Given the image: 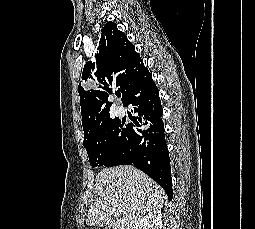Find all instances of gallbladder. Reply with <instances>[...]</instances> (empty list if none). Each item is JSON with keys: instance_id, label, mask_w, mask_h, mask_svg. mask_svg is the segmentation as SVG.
Here are the masks:
<instances>
[{"instance_id": "obj_1", "label": "gallbladder", "mask_w": 255, "mask_h": 229, "mask_svg": "<svg viewBox=\"0 0 255 229\" xmlns=\"http://www.w3.org/2000/svg\"><path fill=\"white\" fill-rule=\"evenodd\" d=\"M104 229H112L110 226H106Z\"/></svg>"}]
</instances>
